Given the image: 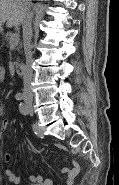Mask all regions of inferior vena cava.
Returning <instances> with one entry per match:
<instances>
[{
	"instance_id": "obj_1",
	"label": "inferior vena cava",
	"mask_w": 119,
	"mask_h": 185,
	"mask_svg": "<svg viewBox=\"0 0 119 185\" xmlns=\"http://www.w3.org/2000/svg\"><path fill=\"white\" fill-rule=\"evenodd\" d=\"M24 2H27V0H23ZM32 14L28 9H26L25 19L22 22L23 27V40H24V51H25V57H26V70L23 76V97L24 99L32 100L33 99V92H32V86L31 82L33 79V71L31 68L33 57H32V45H31V39H32Z\"/></svg>"
}]
</instances>
